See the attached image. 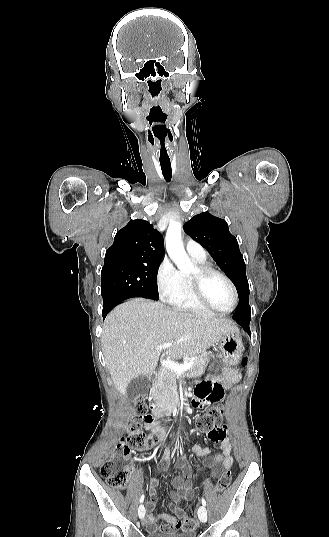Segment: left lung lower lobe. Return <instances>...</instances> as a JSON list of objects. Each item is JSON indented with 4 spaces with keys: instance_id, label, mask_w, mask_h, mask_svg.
I'll list each match as a JSON object with an SVG mask.
<instances>
[{
    "instance_id": "0a47b994",
    "label": "left lung lower lobe",
    "mask_w": 329,
    "mask_h": 537,
    "mask_svg": "<svg viewBox=\"0 0 329 537\" xmlns=\"http://www.w3.org/2000/svg\"><path fill=\"white\" fill-rule=\"evenodd\" d=\"M236 321L238 323H240L242 325V327L250 334V328H249L250 316H246L244 318H239Z\"/></svg>"
}]
</instances>
